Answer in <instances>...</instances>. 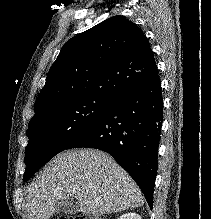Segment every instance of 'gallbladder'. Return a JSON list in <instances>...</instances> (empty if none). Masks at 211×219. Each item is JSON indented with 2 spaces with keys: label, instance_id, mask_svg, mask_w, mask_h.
Listing matches in <instances>:
<instances>
[{
  "label": "gallbladder",
  "instance_id": "gallbladder-1",
  "mask_svg": "<svg viewBox=\"0 0 211 219\" xmlns=\"http://www.w3.org/2000/svg\"><path fill=\"white\" fill-rule=\"evenodd\" d=\"M79 211V205L73 198H67L60 201L56 207V214H75Z\"/></svg>",
  "mask_w": 211,
  "mask_h": 219
}]
</instances>
